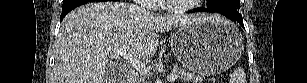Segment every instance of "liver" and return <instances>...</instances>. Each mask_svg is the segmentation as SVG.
Wrapping results in <instances>:
<instances>
[{"instance_id": "6515ba94", "label": "liver", "mask_w": 307, "mask_h": 83, "mask_svg": "<svg viewBox=\"0 0 307 83\" xmlns=\"http://www.w3.org/2000/svg\"><path fill=\"white\" fill-rule=\"evenodd\" d=\"M202 20H221L211 14L157 16L123 2L79 6L62 20L55 43L52 83H113L107 79L108 56L126 50L138 60L151 59L159 33Z\"/></svg>"}]
</instances>
